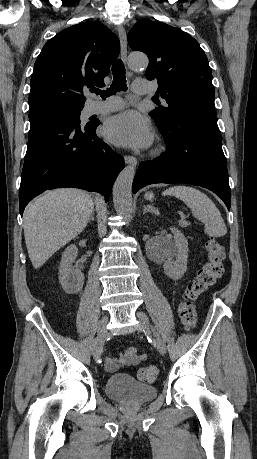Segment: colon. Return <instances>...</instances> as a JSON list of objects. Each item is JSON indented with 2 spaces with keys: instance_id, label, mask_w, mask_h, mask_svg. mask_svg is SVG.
<instances>
[{
  "instance_id": "obj_1",
  "label": "colon",
  "mask_w": 257,
  "mask_h": 459,
  "mask_svg": "<svg viewBox=\"0 0 257 459\" xmlns=\"http://www.w3.org/2000/svg\"><path fill=\"white\" fill-rule=\"evenodd\" d=\"M207 261L199 270L183 292L178 306V315L185 330L196 326L197 312L193 304L200 294L213 286L224 273V249L215 238H208L206 242ZM158 375L155 367H144L138 370L137 376L145 382H152Z\"/></svg>"
}]
</instances>
